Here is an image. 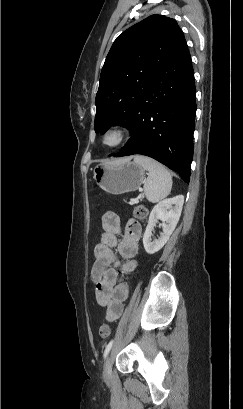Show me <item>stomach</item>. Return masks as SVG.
<instances>
[{
  "mask_svg": "<svg viewBox=\"0 0 243 409\" xmlns=\"http://www.w3.org/2000/svg\"><path fill=\"white\" fill-rule=\"evenodd\" d=\"M93 173L97 185L115 195L136 191L145 178V169L130 158L96 165Z\"/></svg>",
  "mask_w": 243,
  "mask_h": 409,
  "instance_id": "0dacf381",
  "label": "stomach"
}]
</instances>
